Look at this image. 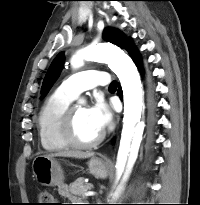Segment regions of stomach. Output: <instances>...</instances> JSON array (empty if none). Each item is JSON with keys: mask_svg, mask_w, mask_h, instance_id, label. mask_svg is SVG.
<instances>
[{"mask_svg": "<svg viewBox=\"0 0 200 205\" xmlns=\"http://www.w3.org/2000/svg\"><path fill=\"white\" fill-rule=\"evenodd\" d=\"M90 173L98 178H106L111 170V165L104 160L93 157L88 162ZM33 173L43 186H54L63 182L64 174L59 162L53 157L40 155L32 163Z\"/></svg>", "mask_w": 200, "mask_h": 205, "instance_id": "1", "label": "stomach"}]
</instances>
